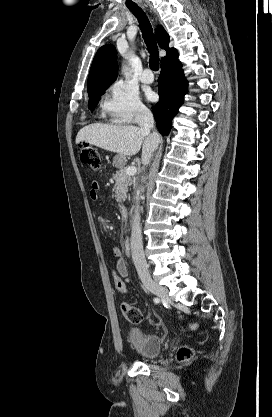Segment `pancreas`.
<instances>
[{
  "label": "pancreas",
  "mask_w": 272,
  "mask_h": 417,
  "mask_svg": "<svg viewBox=\"0 0 272 417\" xmlns=\"http://www.w3.org/2000/svg\"><path fill=\"white\" fill-rule=\"evenodd\" d=\"M112 178L115 180L113 188L114 197L119 204H122L126 199L128 188L132 185L133 179L127 175L125 167L120 168L112 175Z\"/></svg>",
  "instance_id": "obj_1"
}]
</instances>
